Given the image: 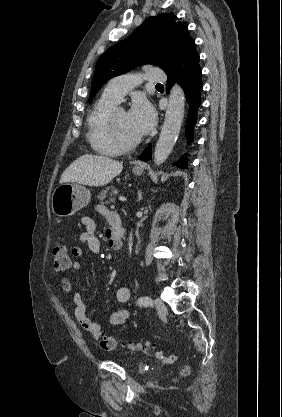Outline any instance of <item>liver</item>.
<instances>
[{
  "mask_svg": "<svg viewBox=\"0 0 282 417\" xmlns=\"http://www.w3.org/2000/svg\"><path fill=\"white\" fill-rule=\"evenodd\" d=\"M122 162L113 160L111 156L97 154H82L71 162L61 174L60 182H78L88 186H104L114 176L120 174Z\"/></svg>",
  "mask_w": 282,
  "mask_h": 417,
  "instance_id": "6515ba94",
  "label": "liver"
}]
</instances>
